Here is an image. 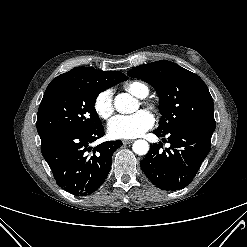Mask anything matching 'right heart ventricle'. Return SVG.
Segmentation results:
<instances>
[{
  "instance_id": "e07e8e85",
  "label": "right heart ventricle",
  "mask_w": 247,
  "mask_h": 247,
  "mask_svg": "<svg viewBox=\"0 0 247 247\" xmlns=\"http://www.w3.org/2000/svg\"><path fill=\"white\" fill-rule=\"evenodd\" d=\"M124 88L132 95L138 98H144L149 93V88L146 84L140 81H131L125 84Z\"/></svg>"
}]
</instances>
